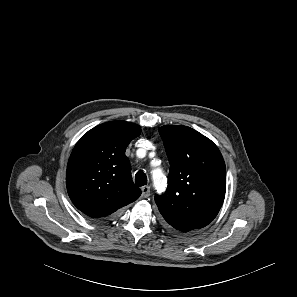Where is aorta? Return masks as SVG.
I'll return each instance as SVG.
<instances>
[{"mask_svg": "<svg viewBox=\"0 0 297 297\" xmlns=\"http://www.w3.org/2000/svg\"><path fill=\"white\" fill-rule=\"evenodd\" d=\"M154 186L158 190H162L166 185V177L161 169H156L152 172Z\"/></svg>", "mask_w": 297, "mask_h": 297, "instance_id": "aorta-1", "label": "aorta"}]
</instances>
